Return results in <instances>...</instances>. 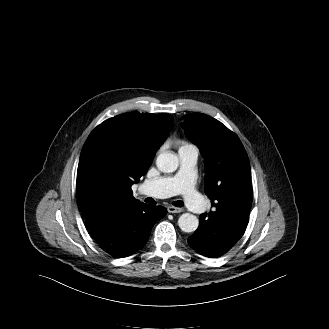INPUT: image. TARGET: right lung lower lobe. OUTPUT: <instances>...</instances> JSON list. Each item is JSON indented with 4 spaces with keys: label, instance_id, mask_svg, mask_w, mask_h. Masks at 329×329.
Wrapping results in <instances>:
<instances>
[{
    "label": "right lung lower lobe",
    "instance_id": "obj_1",
    "mask_svg": "<svg viewBox=\"0 0 329 329\" xmlns=\"http://www.w3.org/2000/svg\"><path fill=\"white\" fill-rule=\"evenodd\" d=\"M167 213L141 202L104 207L86 217L87 228L111 256H129L146 244L153 225Z\"/></svg>",
    "mask_w": 329,
    "mask_h": 329
}]
</instances>
